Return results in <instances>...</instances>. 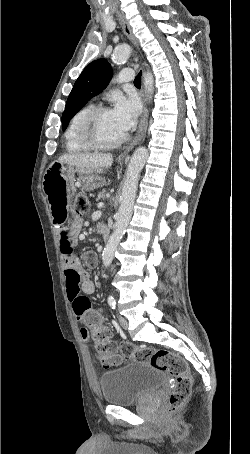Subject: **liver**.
I'll use <instances>...</instances> for the list:
<instances>
[{
    "mask_svg": "<svg viewBox=\"0 0 250 454\" xmlns=\"http://www.w3.org/2000/svg\"><path fill=\"white\" fill-rule=\"evenodd\" d=\"M58 161L76 167L110 168L113 157L103 153H71L60 156Z\"/></svg>",
    "mask_w": 250,
    "mask_h": 454,
    "instance_id": "1",
    "label": "liver"
}]
</instances>
